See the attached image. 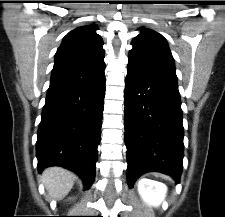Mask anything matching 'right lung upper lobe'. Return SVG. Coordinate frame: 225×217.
I'll return each instance as SVG.
<instances>
[{
	"label": "right lung upper lobe",
	"instance_id": "cb5924a9",
	"mask_svg": "<svg viewBox=\"0 0 225 217\" xmlns=\"http://www.w3.org/2000/svg\"><path fill=\"white\" fill-rule=\"evenodd\" d=\"M95 29L78 27L64 37L55 55L48 92L88 85L105 77L103 41Z\"/></svg>",
	"mask_w": 225,
	"mask_h": 217
}]
</instances>
